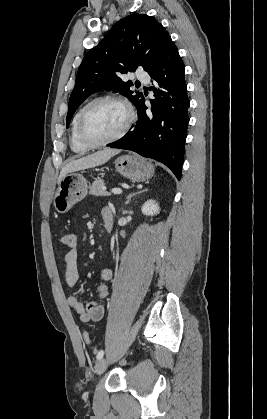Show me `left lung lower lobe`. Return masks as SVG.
<instances>
[{
    "instance_id": "1",
    "label": "left lung lower lobe",
    "mask_w": 267,
    "mask_h": 419,
    "mask_svg": "<svg viewBox=\"0 0 267 419\" xmlns=\"http://www.w3.org/2000/svg\"><path fill=\"white\" fill-rule=\"evenodd\" d=\"M184 71V63L170 40L161 59L148 71L158 86L152 88L155 98L150 100L151 109H147L143 96L135 105L137 124L109 145L164 163L178 180L181 178L190 105Z\"/></svg>"
}]
</instances>
